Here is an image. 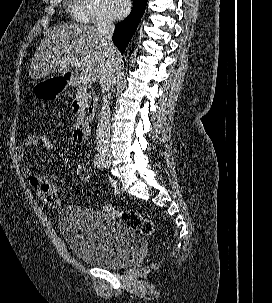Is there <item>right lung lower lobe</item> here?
<instances>
[{
    "mask_svg": "<svg viewBox=\"0 0 272 303\" xmlns=\"http://www.w3.org/2000/svg\"><path fill=\"white\" fill-rule=\"evenodd\" d=\"M146 4L147 0H135L130 15L116 24L112 39L122 54L145 12Z\"/></svg>",
    "mask_w": 272,
    "mask_h": 303,
    "instance_id": "98d812e1",
    "label": "right lung lower lobe"
}]
</instances>
